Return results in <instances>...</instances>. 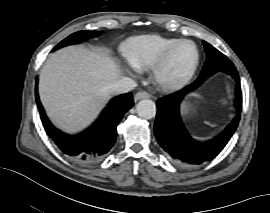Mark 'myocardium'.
Listing matches in <instances>:
<instances>
[{"label":"myocardium","mask_w":270,"mask_h":213,"mask_svg":"<svg viewBox=\"0 0 270 213\" xmlns=\"http://www.w3.org/2000/svg\"><path fill=\"white\" fill-rule=\"evenodd\" d=\"M182 43H189L193 46L194 52H195L194 63L191 69L182 77L173 81H166L162 79L161 77L162 71L166 67L174 50ZM199 61H200V55H199V51L195 43L188 39H179L173 44H171L151 66L150 69H151L152 81L160 90L164 92H173V91L182 89L190 82V80L196 73V70L199 65Z\"/></svg>","instance_id":"myocardium-1"}]
</instances>
